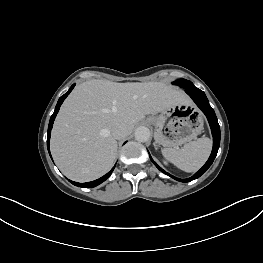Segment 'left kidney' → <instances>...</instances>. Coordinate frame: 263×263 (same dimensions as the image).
<instances>
[{
    "label": "left kidney",
    "mask_w": 263,
    "mask_h": 263,
    "mask_svg": "<svg viewBox=\"0 0 263 263\" xmlns=\"http://www.w3.org/2000/svg\"><path fill=\"white\" fill-rule=\"evenodd\" d=\"M163 163H164L165 165H167V162H166V161H164Z\"/></svg>",
    "instance_id": "5707ae66"
}]
</instances>
